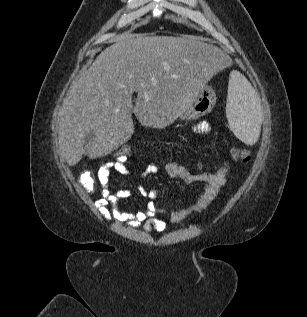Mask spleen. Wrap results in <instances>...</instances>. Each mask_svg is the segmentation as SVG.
Here are the masks:
<instances>
[{
  "mask_svg": "<svg viewBox=\"0 0 307 317\" xmlns=\"http://www.w3.org/2000/svg\"><path fill=\"white\" fill-rule=\"evenodd\" d=\"M226 115L238 139L247 145L257 142L262 122L260 102L248 80L236 71L230 74Z\"/></svg>",
  "mask_w": 307,
  "mask_h": 317,
  "instance_id": "3e777b00",
  "label": "spleen"
}]
</instances>
